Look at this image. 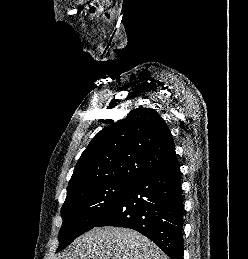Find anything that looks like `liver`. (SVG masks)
Wrapping results in <instances>:
<instances>
[{
    "label": "liver",
    "mask_w": 248,
    "mask_h": 259,
    "mask_svg": "<svg viewBox=\"0 0 248 259\" xmlns=\"http://www.w3.org/2000/svg\"><path fill=\"white\" fill-rule=\"evenodd\" d=\"M60 259H169L152 241L129 228H93L78 237Z\"/></svg>",
    "instance_id": "obj_1"
}]
</instances>
